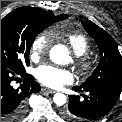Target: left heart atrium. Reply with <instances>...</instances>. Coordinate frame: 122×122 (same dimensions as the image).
I'll use <instances>...</instances> for the list:
<instances>
[{"instance_id": "obj_1", "label": "left heart atrium", "mask_w": 122, "mask_h": 122, "mask_svg": "<svg viewBox=\"0 0 122 122\" xmlns=\"http://www.w3.org/2000/svg\"><path fill=\"white\" fill-rule=\"evenodd\" d=\"M35 75L41 84L54 89L70 84L73 81V74L69 70L50 64L39 66Z\"/></svg>"}]
</instances>
